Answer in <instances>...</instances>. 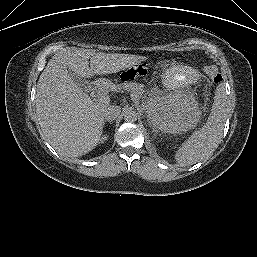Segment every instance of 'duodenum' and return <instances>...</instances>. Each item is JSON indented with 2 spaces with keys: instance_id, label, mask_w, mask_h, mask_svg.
I'll list each match as a JSON object with an SVG mask.
<instances>
[{
  "instance_id": "410a0bca",
  "label": "duodenum",
  "mask_w": 257,
  "mask_h": 257,
  "mask_svg": "<svg viewBox=\"0 0 257 257\" xmlns=\"http://www.w3.org/2000/svg\"><path fill=\"white\" fill-rule=\"evenodd\" d=\"M98 88H99V85L97 83H92L90 85V91L91 92H96Z\"/></svg>"
}]
</instances>
